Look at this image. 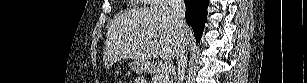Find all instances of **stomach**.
I'll return each mask as SVG.
<instances>
[{
  "label": "stomach",
  "instance_id": "obj_1",
  "mask_svg": "<svg viewBox=\"0 0 307 83\" xmlns=\"http://www.w3.org/2000/svg\"><path fill=\"white\" fill-rule=\"evenodd\" d=\"M134 69L136 71H143V70H145V66H143L142 64L137 63Z\"/></svg>",
  "mask_w": 307,
  "mask_h": 83
}]
</instances>
